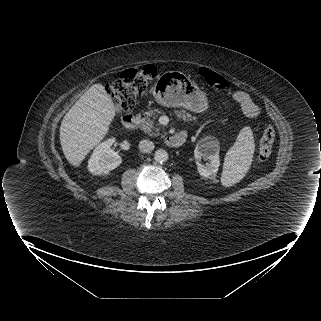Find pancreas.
<instances>
[{
  "label": "pancreas",
  "mask_w": 321,
  "mask_h": 321,
  "mask_svg": "<svg viewBox=\"0 0 321 321\" xmlns=\"http://www.w3.org/2000/svg\"><path fill=\"white\" fill-rule=\"evenodd\" d=\"M163 111L154 109V110H149L146 112L145 117H140V129L143 130L145 133H148L149 135L157 136L160 134V131H163V128L159 124H154L153 120L151 119L152 116L153 118L157 117L159 113H162ZM175 114L177 118L182 119L184 121L188 122H193L195 123L196 117L192 116L190 113H187L185 110H180V111H175Z\"/></svg>",
  "instance_id": "1"
}]
</instances>
